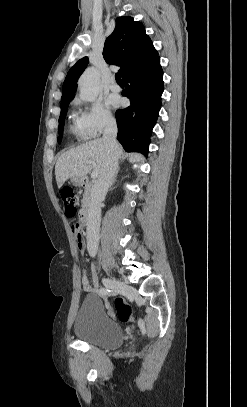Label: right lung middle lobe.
<instances>
[{
	"mask_svg": "<svg viewBox=\"0 0 247 407\" xmlns=\"http://www.w3.org/2000/svg\"><path fill=\"white\" fill-rule=\"evenodd\" d=\"M69 103H70V101H66L61 104V113H60V117H59V137H58L59 142L61 140L60 138H62V136H63L62 132H63L65 117H66Z\"/></svg>",
	"mask_w": 247,
	"mask_h": 407,
	"instance_id": "right-lung-middle-lobe-1",
	"label": "right lung middle lobe"
}]
</instances>
